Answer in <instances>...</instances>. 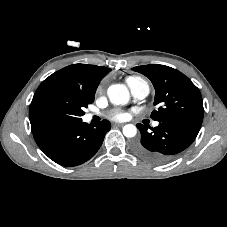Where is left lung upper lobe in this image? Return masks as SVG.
<instances>
[{
  "instance_id": "left-lung-upper-lobe-1",
  "label": "left lung upper lobe",
  "mask_w": 227,
  "mask_h": 227,
  "mask_svg": "<svg viewBox=\"0 0 227 227\" xmlns=\"http://www.w3.org/2000/svg\"><path fill=\"white\" fill-rule=\"evenodd\" d=\"M132 70L148 77L156 91L154 105L159 108L151 113L157 121L183 120L202 124L204 109L199 89L184 74L165 65L149 64Z\"/></svg>"
}]
</instances>
